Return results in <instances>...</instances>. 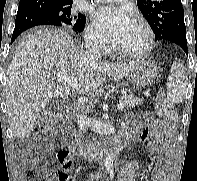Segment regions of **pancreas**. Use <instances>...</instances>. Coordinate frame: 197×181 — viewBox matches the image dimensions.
I'll return each instance as SVG.
<instances>
[{"label": "pancreas", "mask_w": 197, "mask_h": 181, "mask_svg": "<svg viewBox=\"0 0 197 181\" xmlns=\"http://www.w3.org/2000/svg\"><path fill=\"white\" fill-rule=\"evenodd\" d=\"M119 101L120 103H123L126 108H133L143 103L142 100L138 97H135L132 94L127 93H123Z\"/></svg>", "instance_id": "obj_1"}]
</instances>
